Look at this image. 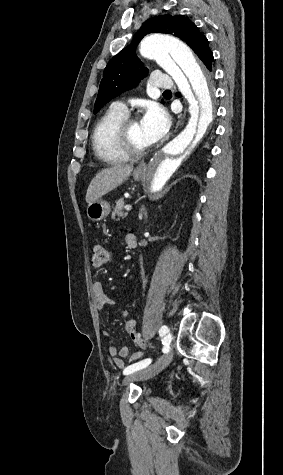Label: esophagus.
I'll return each mask as SVG.
<instances>
[{
  "label": "esophagus",
  "mask_w": 283,
  "mask_h": 475,
  "mask_svg": "<svg viewBox=\"0 0 283 475\" xmlns=\"http://www.w3.org/2000/svg\"><path fill=\"white\" fill-rule=\"evenodd\" d=\"M185 113H186V108H185V110H184V113L179 116L178 122H177V124H176V129H177V128L179 127V125L181 124V121L183 120ZM154 159H157V156H155ZM136 172H142V168H141V167H140V168H137V169H136Z\"/></svg>",
  "instance_id": "1"
}]
</instances>
